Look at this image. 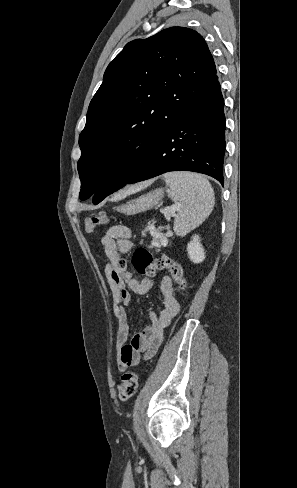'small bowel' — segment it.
<instances>
[{"label": "small bowel", "instance_id": "small-bowel-1", "mask_svg": "<svg viewBox=\"0 0 297 488\" xmlns=\"http://www.w3.org/2000/svg\"><path fill=\"white\" fill-rule=\"evenodd\" d=\"M131 231L128 227L118 225L109 228L100 240L107 256L105 274L112 295V314L117 320L116 358L118 368L126 370L140 363L142 357H152L163 340V331L179 311V303L174 297L172 279L168 275L161 277L159 291L162 297V308L159 314L149 312L150 324L129 340V318L127 308L132 303L130 291L146 294L154 285L151 278L135 279L127 273L117 271L120 253H129L134 244L130 241Z\"/></svg>", "mask_w": 297, "mask_h": 488}]
</instances>
